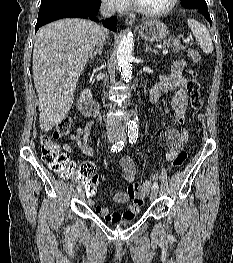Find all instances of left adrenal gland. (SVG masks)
<instances>
[{
    "instance_id": "obj_1",
    "label": "left adrenal gland",
    "mask_w": 233,
    "mask_h": 263,
    "mask_svg": "<svg viewBox=\"0 0 233 263\" xmlns=\"http://www.w3.org/2000/svg\"><path fill=\"white\" fill-rule=\"evenodd\" d=\"M145 48H146L145 52L150 51V52H153V53L157 54V51L155 49H152L151 47H149L147 44H146Z\"/></svg>"
}]
</instances>
